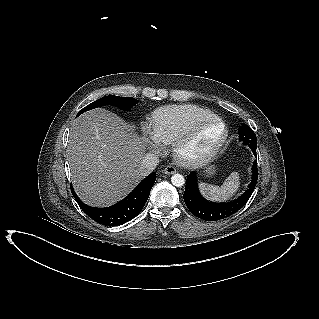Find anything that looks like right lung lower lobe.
I'll use <instances>...</instances> for the list:
<instances>
[{"label":"right lung lower lobe","instance_id":"right-lung-lower-lobe-1","mask_svg":"<svg viewBox=\"0 0 319 319\" xmlns=\"http://www.w3.org/2000/svg\"><path fill=\"white\" fill-rule=\"evenodd\" d=\"M155 179L156 173L153 172L127 197L115 205L106 208L87 206L78 198L73 188L72 194L80 208L94 221L106 226H116L130 221L140 213L149 197Z\"/></svg>","mask_w":319,"mask_h":319}]
</instances>
